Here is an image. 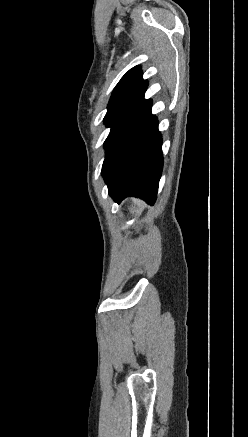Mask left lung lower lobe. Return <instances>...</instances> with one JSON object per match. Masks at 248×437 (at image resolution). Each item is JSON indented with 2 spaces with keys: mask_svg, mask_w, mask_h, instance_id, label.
Segmentation results:
<instances>
[{
  "mask_svg": "<svg viewBox=\"0 0 248 437\" xmlns=\"http://www.w3.org/2000/svg\"><path fill=\"white\" fill-rule=\"evenodd\" d=\"M151 100L135 110L111 135L102 175L115 202L135 196L153 205L162 173V137Z\"/></svg>",
  "mask_w": 248,
  "mask_h": 437,
  "instance_id": "0a47b994",
  "label": "left lung lower lobe"
}]
</instances>
